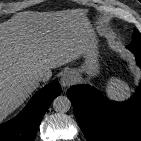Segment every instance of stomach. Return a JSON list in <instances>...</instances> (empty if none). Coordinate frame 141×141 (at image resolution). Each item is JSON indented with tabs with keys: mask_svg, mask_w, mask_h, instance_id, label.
<instances>
[{
	"mask_svg": "<svg viewBox=\"0 0 141 141\" xmlns=\"http://www.w3.org/2000/svg\"><path fill=\"white\" fill-rule=\"evenodd\" d=\"M82 56L84 64L79 72H84L88 79L96 77L100 72V65L97 41L93 33L88 35L83 42Z\"/></svg>",
	"mask_w": 141,
	"mask_h": 141,
	"instance_id": "0dacf381",
	"label": "stomach"
}]
</instances>
